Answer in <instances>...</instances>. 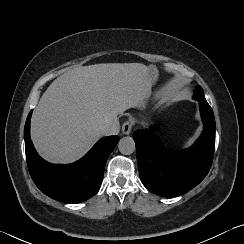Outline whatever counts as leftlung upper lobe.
I'll return each instance as SVG.
<instances>
[{
    "label": "left lung upper lobe",
    "instance_id": "obj_1",
    "mask_svg": "<svg viewBox=\"0 0 244 244\" xmlns=\"http://www.w3.org/2000/svg\"><path fill=\"white\" fill-rule=\"evenodd\" d=\"M193 98L195 100H198V101L203 100L204 101V104L207 105V106H209V104L207 103V101H206V99L204 97L203 89L200 86L197 87ZM212 117H213V114H212Z\"/></svg>",
    "mask_w": 244,
    "mask_h": 244
}]
</instances>
